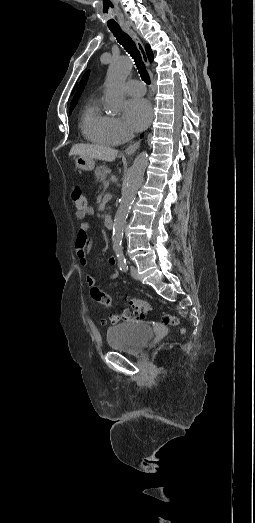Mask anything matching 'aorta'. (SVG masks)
Wrapping results in <instances>:
<instances>
[{"label":"aorta","instance_id":"aorta-1","mask_svg":"<svg viewBox=\"0 0 255 523\" xmlns=\"http://www.w3.org/2000/svg\"><path fill=\"white\" fill-rule=\"evenodd\" d=\"M132 70V62L128 57H119L111 62L107 71L105 103L107 110L118 114L124 103L123 83ZM148 165V154L143 151L135 159L125 182L119 208L114 217L113 249L118 260L124 259L122 240L126 219L135 199L137 190L142 184Z\"/></svg>","mask_w":255,"mask_h":523}]
</instances>
